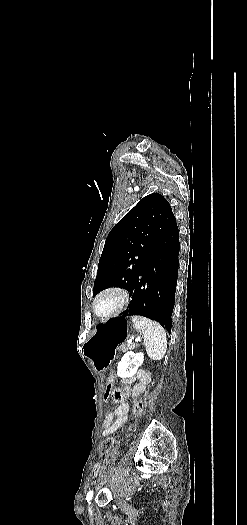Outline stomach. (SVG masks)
Returning <instances> with one entry per match:
<instances>
[{"label":"stomach","mask_w":247,"mask_h":525,"mask_svg":"<svg viewBox=\"0 0 247 525\" xmlns=\"http://www.w3.org/2000/svg\"><path fill=\"white\" fill-rule=\"evenodd\" d=\"M138 332L131 318H111L97 325L84 345V354L97 371L103 372L114 359L118 347Z\"/></svg>","instance_id":"obj_1"}]
</instances>
